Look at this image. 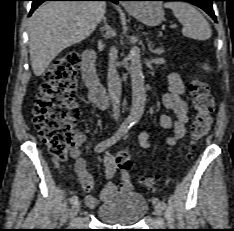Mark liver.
I'll return each instance as SVG.
<instances>
[{
    "label": "liver",
    "mask_w": 234,
    "mask_h": 231,
    "mask_svg": "<svg viewBox=\"0 0 234 231\" xmlns=\"http://www.w3.org/2000/svg\"><path fill=\"white\" fill-rule=\"evenodd\" d=\"M103 1L43 3L29 19V53L35 76H41L64 49L88 38L104 18Z\"/></svg>",
    "instance_id": "liver-1"
}]
</instances>
